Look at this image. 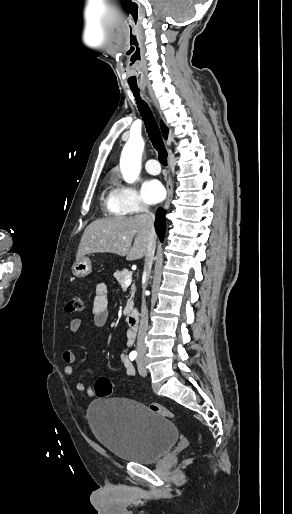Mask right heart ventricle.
<instances>
[{
    "instance_id": "e07e8e85",
    "label": "right heart ventricle",
    "mask_w": 292,
    "mask_h": 514,
    "mask_svg": "<svg viewBox=\"0 0 292 514\" xmlns=\"http://www.w3.org/2000/svg\"><path fill=\"white\" fill-rule=\"evenodd\" d=\"M101 204L106 216L116 217L125 212L117 201L116 191L111 182L106 184L101 191Z\"/></svg>"
}]
</instances>
